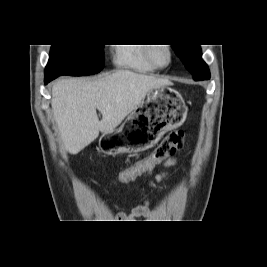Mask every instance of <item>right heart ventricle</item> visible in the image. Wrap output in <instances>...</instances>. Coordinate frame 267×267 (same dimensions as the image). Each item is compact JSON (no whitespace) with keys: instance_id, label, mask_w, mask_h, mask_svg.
Segmentation results:
<instances>
[{"instance_id":"obj_1","label":"right heart ventricle","mask_w":267,"mask_h":267,"mask_svg":"<svg viewBox=\"0 0 267 267\" xmlns=\"http://www.w3.org/2000/svg\"><path fill=\"white\" fill-rule=\"evenodd\" d=\"M113 51L112 61L118 68H128L138 72L150 73L156 68L148 59V46L144 44H117Z\"/></svg>"}]
</instances>
